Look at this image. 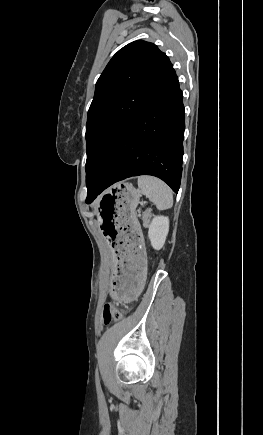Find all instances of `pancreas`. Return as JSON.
<instances>
[{"instance_id":"pancreas-1","label":"pancreas","mask_w":263,"mask_h":435,"mask_svg":"<svg viewBox=\"0 0 263 435\" xmlns=\"http://www.w3.org/2000/svg\"><path fill=\"white\" fill-rule=\"evenodd\" d=\"M150 213H151V209H147L145 212H143L142 214V220L144 225L146 226L149 222V217H150Z\"/></svg>"}]
</instances>
